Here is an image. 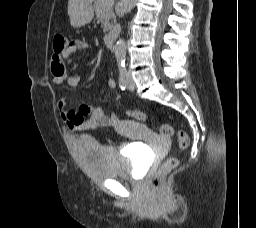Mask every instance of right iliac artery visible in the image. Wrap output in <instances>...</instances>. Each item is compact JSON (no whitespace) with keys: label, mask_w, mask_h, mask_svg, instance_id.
I'll list each match as a JSON object with an SVG mask.
<instances>
[{"label":"right iliac artery","mask_w":256,"mask_h":228,"mask_svg":"<svg viewBox=\"0 0 256 228\" xmlns=\"http://www.w3.org/2000/svg\"><path fill=\"white\" fill-rule=\"evenodd\" d=\"M119 87L124 90L127 86V71L125 65H120L119 67Z\"/></svg>","instance_id":"82829eb1"}]
</instances>
